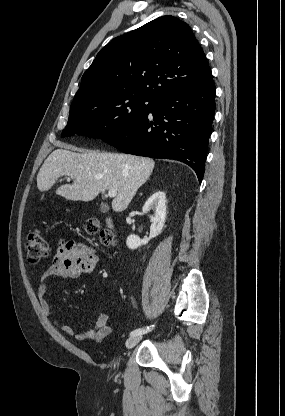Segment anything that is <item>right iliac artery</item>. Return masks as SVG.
<instances>
[{"label":"right iliac artery","mask_w":285,"mask_h":416,"mask_svg":"<svg viewBox=\"0 0 285 416\" xmlns=\"http://www.w3.org/2000/svg\"><path fill=\"white\" fill-rule=\"evenodd\" d=\"M153 328H154V325L147 326V327H144V328L135 329L130 333V336H137V335L145 334V333L151 331Z\"/></svg>","instance_id":"obj_1"}]
</instances>
